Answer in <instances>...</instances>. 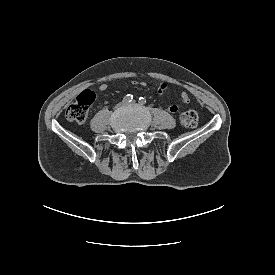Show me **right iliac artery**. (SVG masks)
Returning <instances> with one entry per match:
<instances>
[{
    "label": "right iliac artery",
    "instance_id": "obj_1",
    "mask_svg": "<svg viewBox=\"0 0 275 275\" xmlns=\"http://www.w3.org/2000/svg\"><path fill=\"white\" fill-rule=\"evenodd\" d=\"M133 100V95L131 94H127L124 99L123 102H131Z\"/></svg>",
    "mask_w": 275,
    "mask_h": 275
}]
</instances>
